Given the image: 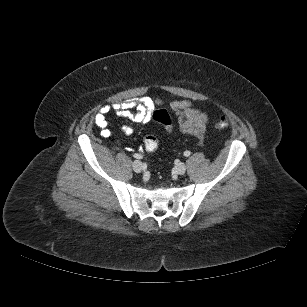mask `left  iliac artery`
I'll use <instances>...</instances> for the list:
<instances>
[{
	"instance_id": "obj_1",
	"label": "left iliac artery",
	"mask_w": 307,
	"mask_h": 307,
	"mask_svg": "<svg viewBox=\"0 0 307 307\" xmlns=\"http://www.w3.org/2000/svg\"><path fill=\"white\" fill-rule=\"evenodd\" d=\"M190 154H191V152H190V151H188V150L184 152V156H185V157L190 156Z\"/></svg>"
}]
</instances>
